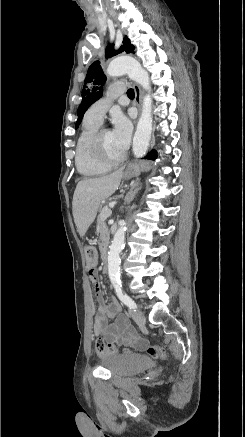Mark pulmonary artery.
<instances>
[{
	"label": "pulmonary artery",
	"instance_id": "obj_1",
	"mask_svg": "<svg viewBox=\"0 0 245 437\" xmlns=\"http://www.w3.org/2000/svg\"><path fill=\"white\" fill-rule=\"evenodd\" d=\"M125 89H126V85L122 82L112 83L108 87L106 95L103 98L97 100L89 107V109L85 114V117L92 121L101 123L102 118L106 113V111L108 110V108L110 107L112 101L116 97L124 93Z\"/></svg>",
	"mask_w": 245,
	"mask_h": 437
}]
</instances>
